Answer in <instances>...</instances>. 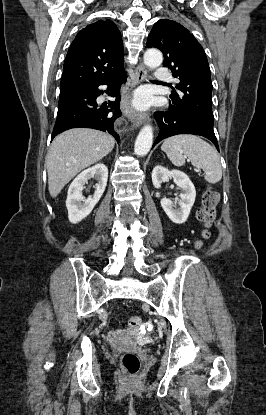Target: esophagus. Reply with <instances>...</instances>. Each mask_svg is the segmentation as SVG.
I'll list each match as a JSON object with an SVG mask.
<instances>
[{
    "label": "esophagus",
    "instance_id": "esophagus-1",
    "mask_svg": "<svg viewBox=\"0 0 266 415\" xmlns=\"http://www.w3.org/2000/svg\"><path fill=\"white\" fill-rule=\"evenodd\" d=\"M146 77V69L143 64H139L135 69V78L130 84L128 91L122 97V105L125 108V112L132 119L135 127L140 126L146 119H149V115L146 112L138 111L132 106V90L137 85L142 83Z\"/></svg>",
    "mask_w": 266,
    "mask_h": 415
}]
</instances>
